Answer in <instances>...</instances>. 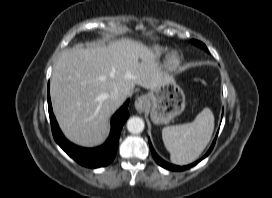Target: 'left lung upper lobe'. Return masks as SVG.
Returning a JSON list of instances; mask_svg holds the SVG:
<instances>
[{
	"mask_svg": "<svg viewBox=\"0 0 272 198\" xmlns=\"http://www.w3.org/2000/svg\"><path fill=\"white\" fill-rule=\"evenodd\" d=\"M191 42L196 45H199L200 47L204 48L208 52V49L206 48L205 44H203L202 42H200L198 40H192Z\"/></svg>",
	"mask_w": 272,
	"mask_h": 198,
	"instance_id": "left-lung-upper-lobe-1",
	"label": "left lung upper lobe"
}]
</instances>
